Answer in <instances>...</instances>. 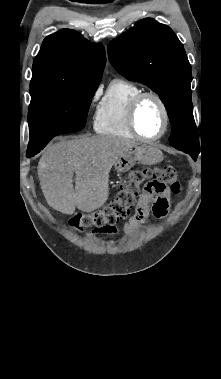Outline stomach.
Returning <instances> with one entry per match:
<instances>
[{"instance_id":"stomach-1","label":"stomach","mask_w":221,"mask_h":379,"mask_svg":"<svg viewBox=\"0 0 221 379\" xmlns=\"http://www.w3.org/2000/svg\"><path fill=\"white\" fill-rule=\"evenodd\" d=\"M163 160L162 151L154 145L143 144L124 153L114 164L118 173L129 171L136 162L154 165Z\"/></svg>"}]
</instances>
